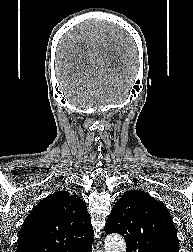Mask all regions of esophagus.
<instances>
[{"label":"esophagus","mask_w":193,"mask_h":252,"mask_svg":"<svg viewBox=\"0 0 193 252\" xmlns=\"http://www.w3.org/2000/svg\"><path fill=\"white\" fill-rule=\"evenodd\" d=\"M101 244H102L101 241H99V242H98V245L100 246L99 252H103V250H102V248H101Z\"/></svg>","instance_id":"34e87169"}]
</instances>
